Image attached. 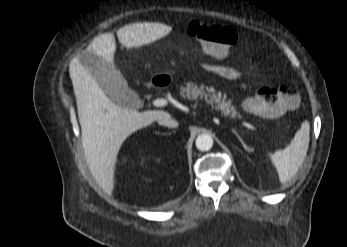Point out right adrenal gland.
Masks as SVG:
<instances>
[{"label": "right adrenal gland", "instance_id": "2a0ac1e0", "mask_svg": "<svg viewBox=\"0 0 347 247\" xmlns=\"http://www.w3.org/2000/svg\"><path fill=\"white\" fill-rule=\"evenodd\" d=\"M161 135H168V134H165V133H161Z\"/></svg>", "mask_w": 347, "mask_h": 247}]
</instances>
